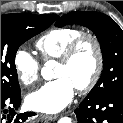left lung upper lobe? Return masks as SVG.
<instances>
[{
	"instance_id": "left-lung-upper-lobe-1",
	"label": "left lung upper lobe",
	"mask_w": 123,
	"mask_h": 123,
	"mask_svg": "<svg viewBox=\"0 0 123 123\" xmlns=\"http://www.w3.org/2000/svg\"><path fill=\"white\" fill-rule=\"evenodd\" d=\"M83 25L97 36L103 55L102 75L87 96L123 91V31L109 16L89 11H76L62 16L55 25Z\"/></svg>"
}]
</instances>
